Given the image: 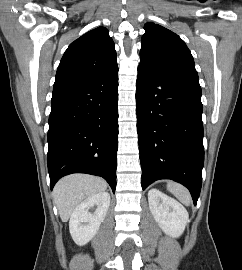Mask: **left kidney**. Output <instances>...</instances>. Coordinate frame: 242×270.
Returning a JSON list of instances; mask_svg holds the SVG:
<instances>
[{
  "instance_id": "5707ae66",
  "label": "left kidney",
  "mask_w": 242,
  "mask_h": 270,
  "mask_svg": "<svg viewBox=\"0 0 242 270\" xmlns=\"http://www.w3.org/2000/svg\"><path fill=\"white\" fill-rule=\"evenodd\" d=\"M150 211L164 233L171 237H179L185 230L188 212L175 199L157 189L148 192Z\"/></svg>"
}]
</instances>
